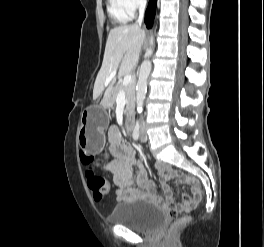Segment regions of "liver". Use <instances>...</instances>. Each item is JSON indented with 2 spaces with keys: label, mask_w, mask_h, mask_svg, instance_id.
I'll return each instance as SVG.
<instances>
[{
  "label": "liver",
  "mask_w": 264,
  "mask_h": 247,
  "mask_svg": "<svg viewBox=\"0 0 264 247\" xmlns=\"http://www.w3.org/2000/svg\"><path fill=\"white\" fill-rule=\"evenodd\" d=\"M144 40L145 32L138 25L120 26L109 32L103 63L94 84L93 99L103 92L111 73L118 70V77L132 73L137 66ZM111 90L112 86L106 90L105 99Z\"/></svg>",
  "instance_id": "obj_1"
}]
</instances>
